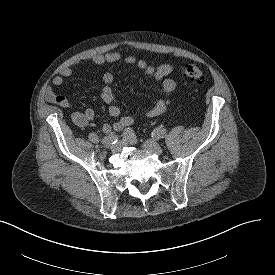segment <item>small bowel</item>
<instances>
[{
    "instance_id": "1",
    "label": "small bowel",
    "mask_w": 275,
    "mask_h": 275,
    "mask_svg": "<svg viewBox=\"0 0 275 275\" xmlns=\"http://www.w3.org/2000/svg\"><path fill=\"white\" fill-rule=\"evenodd\" d=\"M123 60L127 65H136L137 68L143 71L147 76L152 77L154 80L161 83L162 86V98L156 101V103L147 111L142 113L139 118H153L163 114L168 106L167 97L171 96L176 90V82L170 77L174 67L171 64H162L158 67H154L145 60H137L135 56L129 55L122 58V55L118 52H109L105 54H98L92 57L91 61L96 65H104L107 63H115ZM74 74V70L70 67L61 69L58 74L53 78V84L60 86L63 84L65 78ZM104 86L101 90L100 97L105 103H112L114 101V94L111 88V84L114 81V76L110 72H106L102 76ZM46 100L49 103L55 104L62 108H71L70 101L63 95L57 93L52 86H49L46 90ZM108 114L111 117H118L113 123H105L102 126V131L105 134L111 132H119L123 129L133 125L136 121L134 116H120L121 108L117 105H111L108 109ZM95 117L92 109H86L82 111H76L71 115L73 123L77 126L83 127L90 123Z\"/></svg>"
}]
</instances>
